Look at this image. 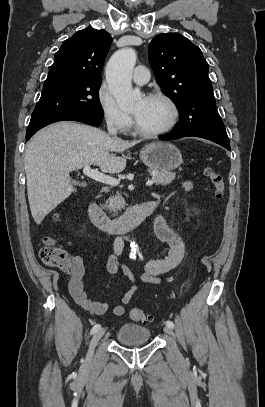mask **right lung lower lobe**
Masks as SVG:
<instances>
[{"label": "right lung lower lobe", "mask_w": 265, "mask_h": 407, "mask_svg": "<svg viewBox=\"0 0 265 407\" xmlns=\"http://www.w3.org/2000/svg\"><path fill=\"white\" fill-rule=\"evenodd\" d=\"M61 120H73V121H79V122H83L89 125H93V126H99L102 123V117H98L95 115H91V114H77V115H72L66 118H63ZM59 120V121H61ZM36 132V131H35ZM26 133V140H29L31 138V136L35 133Z\"/></svg>", "instance_id": "98d812e1"}]
</instances>
